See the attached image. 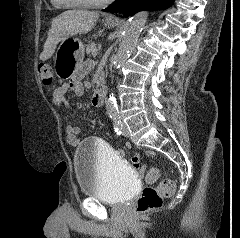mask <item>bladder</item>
<instances>
[{
  "mask_svg": "<svg viewBox=\"0 0 240 238\" xmlns=\"http://www.w3.org/2000/svg\"><path fill=\"white\" fill-rule=\"evenodd\" d=\"M73 164L79 190L103 203H124L138 187L136 173L128 162L95 138L85 139L78 145Z\"/></svg>",
  "mask_w": 240,
  "mask_h": 238,
  "instance_id": "obj_1",
  "label": "bladder"
}]
</instances>
